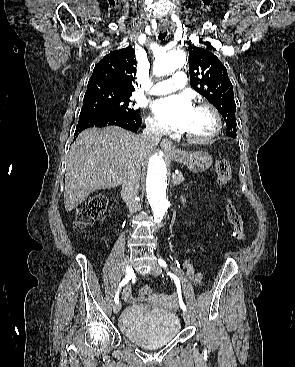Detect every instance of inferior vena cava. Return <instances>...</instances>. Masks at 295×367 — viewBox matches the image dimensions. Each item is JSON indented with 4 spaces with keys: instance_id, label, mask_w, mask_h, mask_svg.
I'll use <instances>...</instances> for the list:
<instances>
[{
    "instance_id": "obj_1",
    "label": "inferior vena cava",
    "mask_w": 295,
    "mask_h": 367,
    "mask_svg": "<svg viewBox=\"0 0 295 367\" xmlns=\"http://www.w3.org/2000/svg\"><path fill=\"white\" fill-rule=\"evenodd\" d=\"M162 133L163 129L158 124H148L140 136L142 146L144 148H152L157 145L162 137ZM139 182L140 174L136 170H130L123 181L121 195L131 214L136 212L139 207L135 200L139 191Z\"/></svg>"
}]
</instances>
